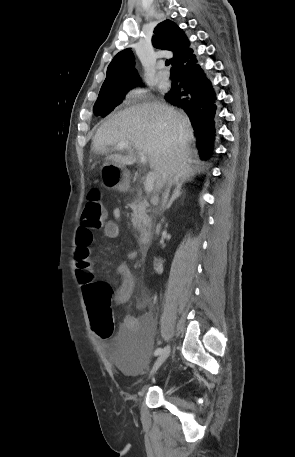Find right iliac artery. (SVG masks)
<instances>
[{"label": "right iliac artery", "mask_w": 295, "mask_h": 457, "mask_svg": "<svg viewBox=\"0 0 295 457\" xmlns=\"http://www.w3.org/2000/svg\"><path fill=\"white\" fill-rule=\"evenodd\" d=\"M161 352H162V349H161V348H158V349L155 350L154 355L157 356V355H159Z\"/></svg>", "instance_id": "82829eb1"}]
</instances>
